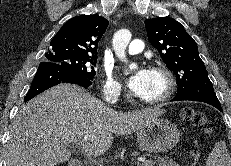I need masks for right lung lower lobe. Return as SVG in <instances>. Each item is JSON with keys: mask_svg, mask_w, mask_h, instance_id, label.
Instances as JSON below:
<instances>
[{"mask_svg": "<svg viewBox=\"0 0 231 166\" xmlns=\"http://www.w3.org/2000/svg\"><path fill=\"white\" fill-rule=\"evenodd\" d=\"M61 82L78 84L84 88L92 85V80L65 67L50 62H41L25 97V102Z\"/></svg>", "mask_w": 231, "mask_h": 166, "instance_id": "right-lung-lower-lobe-1", "label": "right lung lower lobe"}]
</instances>
